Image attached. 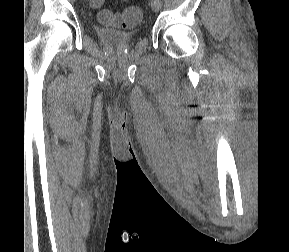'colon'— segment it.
<instances>
[{"instance_id": "5ec220e1", "label": "colon", "mask_w": 289, "mask_h": 252, "mask_svg": "<svg viewBox=\"0 0 289 252\" xmlns=\"http://www.w3.org/2000/svg\"><path fill=\"white\" fill-rule=\"evenodd\" d=\"M104 0H93V7L100 9ZM142 17V11L139 7H127L122 13H112L108 10L101 9L98 13V19L106 25H114L130 28L135 26Z\"/></svg>"}]
</instances>
